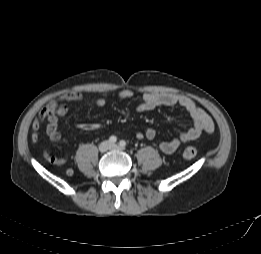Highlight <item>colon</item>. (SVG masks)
<instances>
[{
    "instance_id": "obj_1",
    "label": "colon",
    "mask_w": 261,
    "mask_h": 254,
    "mask_svg": "<svg viewBox=\"0 0 261 254\" xmlns=\"http://www.w3.org/2000/svg\"><path fill=\"white\" fill-rule=\"evenodd\" d=\"M196 154L197 150L192 146L185 148L183 151V157L187 160L193 159L196 156ZM66 174L70 176L73 174V171L71 169H67Z\"/></svg>"
}]
</instances>
